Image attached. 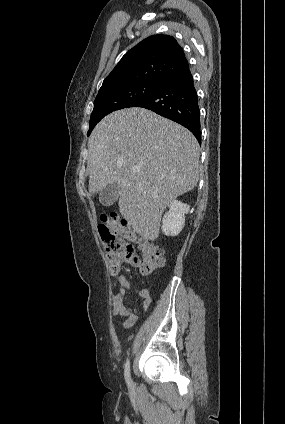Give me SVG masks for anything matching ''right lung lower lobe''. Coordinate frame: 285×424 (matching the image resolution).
<instances>
[{
	"label": "right lung lower lobe",
	"instance_id": "1",
	"mask_svg": "<svg viewBox=\"0 0 285 424\" xmlns=\"http://www.w3.org/2000/svg\"><path fill=\"white\" fill-rule=\"evenodd\" d=\"M130 107H143L181 124L201 143L198 97L189 68Z\"/></svg>",
	"mask_w": 285,
	"mask_h": 424
}]
</instances>
